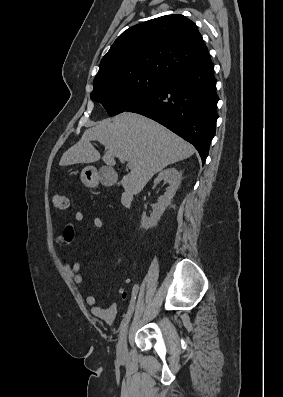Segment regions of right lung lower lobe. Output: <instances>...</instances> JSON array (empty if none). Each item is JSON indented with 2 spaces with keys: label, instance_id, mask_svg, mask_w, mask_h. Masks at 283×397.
<instances>
[{
  "label": "right lung lower lobe",
  "instance_id": "1",
  "mask_svg": "<svg viewBox=\"0 0 283 397\" xmlns=\"http://www.w3.org/2000/svg\"><path fill=\"white\" fill-rule=\"evenodd\" d=\"M215 87L211 61L172 75L155 93L127 111L149 117L190 142L204 164L218 118Z\"/></svg>",
  "mask_w": 283,
  "mask_h": 397
}]
</instances>
